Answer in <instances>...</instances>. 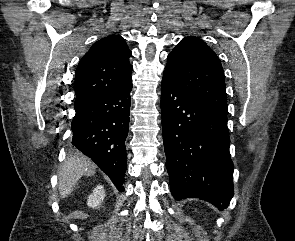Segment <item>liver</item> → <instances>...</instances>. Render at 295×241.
<instances>
[{
    "instance_id": "obj_1",
    "label": "liver",
    "mask_w": 295,
    "mask_h": 241,
    "mask_svg": "<svg viewBox=\"0 0 295 241\" xmlns=\"http://www.w3.org/2000/svg\"><path fill=\"white\" fill-rule=\"evenodd\" d=\"M96 172V165L87 157L70 156L59 172V193L61 198L69 196L82 176H91Z\"/></svg>"
}]
</instances>
